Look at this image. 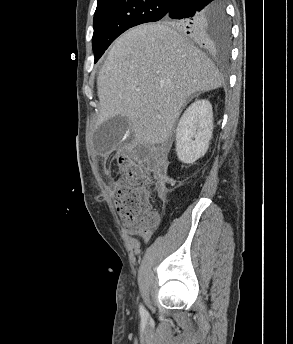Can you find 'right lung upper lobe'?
Listing matches in <instances>:
<instances>
[{
  "mask_svg": "<svg viewBox=\"0 0 293 344\" xmlns=\"http://www.w3.org/2000/svg\"><path fill=\"white\" fill-rule=\"evenodd\" d=\"M102 1H105V0H98V3H99V2H102ZM171 1H174V0H171Z\"/></svg>",
  "mask_w": 293,
  "mask_h": 344,
  "instance_id": "cb5924a9",
  "label": "right lung upper lobe"
}]
</instances>
